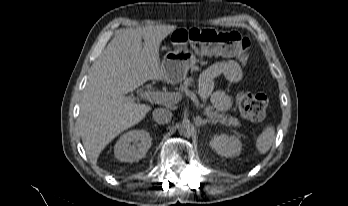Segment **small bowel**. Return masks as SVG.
<instances>
[{"instance_id": "obj_1", "label": "small bowel", "mask_w": 348, "mask_h": 206, "mask_svg": "<svg viewBox=\"0 0 348 206\" xmlns=\"http://www.w3.org/2000/svg\"><path fill=\"white\" fill-rule=\"evenodd\" d=\"M223 77L229 82H239L243 77L240 65L234 60H221L210 65L200 76L199 93L203 99L211 96L214 80ZM214 106L220 111L231 107V98L225 89H219L211 96Z\"/></svg>"}]
</instances>
